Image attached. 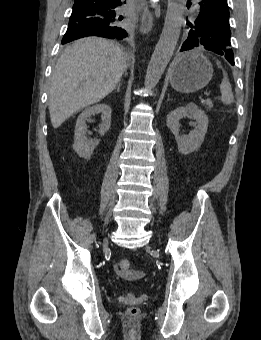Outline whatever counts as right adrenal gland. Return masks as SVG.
I'll return each mask as SVG.
<instances>
[{
  "label": "right adrenal gland",
  "instance_id": "2a0ac1e0",
  "mask_svg": "<svg viewBox=\"0 0 261 340\" xmlns=\"http://www.w3.org/2000/svg\"><path fill=\"white\" fill-rule=\"evenodd\" d=\"M120 87H121V81H119V82H118L117 89H116V90H117V92H119V91H120Z\"/></svg>",
  "mask_w": 261,
  "mask_h": 340
}]
</instances>
